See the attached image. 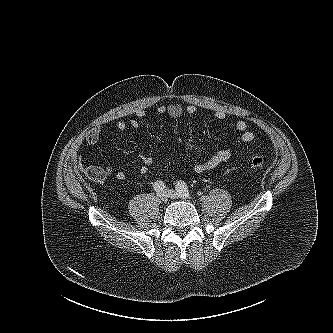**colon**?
<instances>
[{"instance_id": "5ec220e1", "label": "colon", "mask_w": 333, "mask_h": 333, "mask_svg": "<svg viewBox=\"0 0 333 333\" xmlns=\"http://www.w3.org/2000/svg\"><path fill=\"white\" fill-rule=\"evenodd\" d=\"M251 166L256 170H261L265 166V160L260 154H255L251 157Z\"/></svg>"}]
</instances>
